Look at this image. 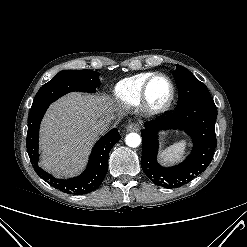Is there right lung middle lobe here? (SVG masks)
<instances>
[{"label":"right lung middle lobe","instance_id":"dd1d6c3e","mask_svg":"<svg viewBox=\"0 0 247 247\" xmlns=\"http://www.w3.org/2000/svg\"><path fill=\"white\" fill-rule=\"evenodd\" d=\"M99 73L91 70H65L44 84L37 92L31 111L37 110L72 91L95 92Z\"/></svg>","mask_w":247,"mask_h":247}]
</instances>
